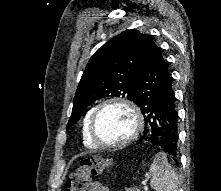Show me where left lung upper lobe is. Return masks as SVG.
Masks as SVG:
<instances>
[{"instance_id": "5c2ea615", "label": "left lung upper lobe", "mask_w": 221, "mask_h": 191, "mask_svg": "<svg viewBox=\"0 0 221 191\" xmlns=\"http://www.w3.org/2000/svg\"><path fill=\"white\" fill-rule=\"evenodd\" d=\"M150 40L136 30H125L96 51L81 77L67 128L100 98L122 96L136 103L137 80Z\"/></svg>"}]
</instances>
